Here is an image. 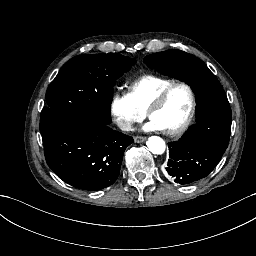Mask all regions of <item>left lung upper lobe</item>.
<instances>
[{
	"mask_svg": "<svg viewBox=\"0 0 256 256\" xmlns=\"http://www.w3.org/2000/svg\"><path fill=\"white\" fill-rule=\"evenodd\" d=\"M144 62L161 74L192 87L197 102V124L176 142L168 143V173L207 176L225 152L231 133V109L214 74L194 55L180 50L151 54Z\"/></svg>",
	"mask_w": 256,
	"mask_h": 256,
	"instance_id": "left-lung-upper-lobe-1",
	"label": "left lung upper lobe"
}]
</instances>
